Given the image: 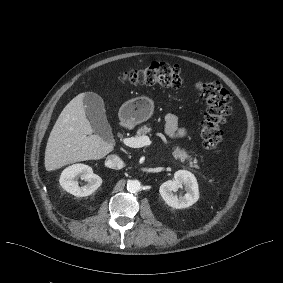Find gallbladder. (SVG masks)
Instances as JSON below:
<instances>
[{
  "instance_id": "gallbladder-1",
  "label": "gallbladder",
  "mask_w": 283,
  "mask_h": 283,
  "mask_svg": "<svg viewBox=\"0 0 283 283\" xmlns=\"http://www.w3.org/2000/svg\"><path fill=\"white\" fill-rule=\"evenodd\" d=\"M83 103L85 113L91 122L95 133L104 139L111 141V128L108 123L103 99L94 92H87Z\"/></svg>"
}]
</instances>
